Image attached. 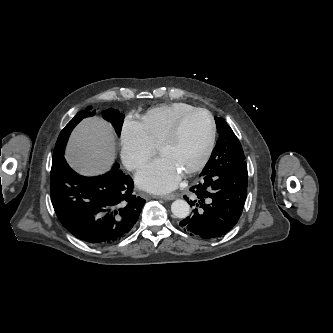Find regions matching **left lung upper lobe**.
I'll return each mask as SVG.
<instances>
[{
  "label": "left lung upper lobe",
  "mask_w": 333,
  "mask_h": 333,
  "mask_svg": "<svg viewBox=\"0 0 333 333\" xmlns=\"http://www.w3.org/2000/svg\"><path fill=\"white\" fill-rule=\"evenodd\" d=\"M219 139L212 152L210 160L207 162L204 172L219 167H229L245 162V156L242 146L225 120L221 117H215Z\"/></svg>",
  "instance_id": "5c2ea615"
}]
</instances>
